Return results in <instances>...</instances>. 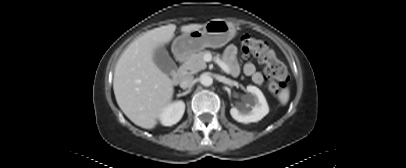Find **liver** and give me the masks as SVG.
I'll list each match as a JSON object with an SVG mask.
<instances>
[{"mask_svg": "<svg viewBox=\"0 0 406 168\" xmlns=\"http://www.w3.org/2000/svg\"><path fill=\"white\" fill-rule=\"evenodd\" d=\"M204 25L189 24L181 32L199 30ZM176 25L152 29L133 41L119 58L114 72L113 90L118 106L137 126L152 129L170 104L174 88L169 76L154 62V52L169 43Z\"/></svg>", "mask_w": 406, "mask_h": 168, "instance_id": "6515ba94", "label": "liver"}]
</instances>
